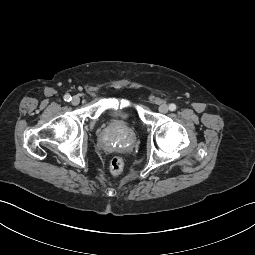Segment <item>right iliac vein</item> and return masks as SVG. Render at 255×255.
Wrapping results in <instances>:
<instances>
[{"instance_id": "obj_1", "label": "right iliac vein", "mask_w": 255, "mask_h": 255, "mask_svg": "<svg viewBox=\"0 0 255 255\" xmlns=\"http://www.w3.org/2000/svg\"><path fill=\"white\" fill-rule=\"evenodd\" d=\"M71 103L73 105H78L80 103V98L78 96H73Z\"/></svg>"}]
</instances>
